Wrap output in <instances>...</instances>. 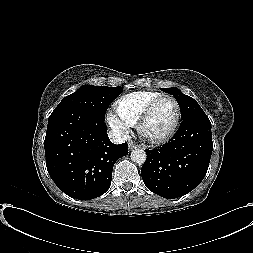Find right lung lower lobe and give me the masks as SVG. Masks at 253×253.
<instances>
[{
    "label": "right lung lower lobe",
    "mask_w": 253,
    "mask_h": 253,
    "mask_svg": "<svg viewBox=\"0 0 253 253\" xmlns=\"http://www.w3.org/2000/svg\"><path fill=\"white\" fill-rule=\"evenodd\" d=\"M44 147L52 180L80 200L104 194L115 162L128 154L127 143L115 145L109 140L104 119L77 109L52 112Z\"/></svg>",
    "instance_id": "1"
}]
</instances>
